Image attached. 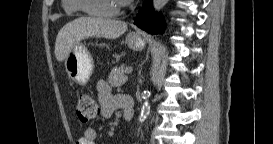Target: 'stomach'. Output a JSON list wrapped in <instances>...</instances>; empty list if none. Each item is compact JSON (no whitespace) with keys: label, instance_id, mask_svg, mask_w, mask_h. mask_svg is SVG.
Returning a JSON list of instances; mask_svg holds the SVG:
<instances>
[{"label":"stomach","instance_id":"obj_1","mask_svg":"<svg viewBox=\"0 0 273 144\" xmlns=\"http://www.w3.org/2000/svg\"><path fill=\"white\" fill-rule=\"evenodd\" d=\"M126 43L130 49L136 51L145 46L144 39L137 33H130L126 37ZM65 69L72 81L80 85L89 81L94 70V61L85 44L79 42L70 49L65 59Z\"/></svg>","mask_w":273,"mask_h":144}]
</instances>
